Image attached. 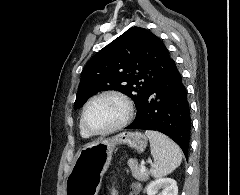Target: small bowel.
<instances>
[{"instance_id": "obj_1", "label": "small bowel", "mask_w": 240, "mask_h": 195, "mask_svg": "<svg viewBox=\"0 0 240 195\" xmlns=\"http://www.w3.org/2000/svg\"><path fill=\"white\" fill-rule=\"evenodd\" d=\"M141 192V185L139 183H134L131 186V190L128 195H139Z\"/></svg>"}]
</instances>
